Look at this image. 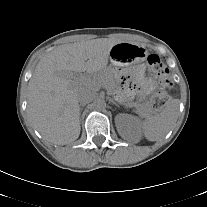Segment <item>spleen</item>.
<instances>
[{
	"mask_svg": "<svg viewBox=\"0 0 207 207\" xmlns=\"http://www.w3.org/2000/svg\"><path fill=\"white\" fill-rule=\"evenodd\" d=\"M178 113L179 100H170L160 113L142 122L141 129L144 137L149 141H158L164 138L175 125Z\"/></svg>",
	"mask_w": 207,
	"mask_h": 207,
	"instance_id": "obj_1",
	"label": "spleen"
}]
</instances>
